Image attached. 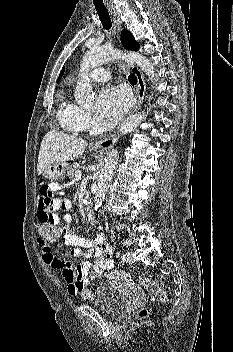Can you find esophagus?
Instances as JSON below:
<instances>
[{
	"label": "esophagus",
	"mask_w": 233,
	"mask_h": 352,
	"mask_svg": "<svg viewBox=\"0 0 233 352\" xmlns=\"http://www.w3.org/2000/svg\"><path fill=\"white\" fill-rule=\"evenodd\" d=\"M109 12L114 22L115 30L119 33L122 29V21L114 9H109ZM129 68L137 77V88H136L137 100L129 113V114H132L140 108L143 102L145 92H146V83L141 70L137 66L131 64L129 65ZM118 137H119V129L114 133H112L111 135H108L104 139L93 142L91 144V147L95 149L107 150L117 141Z\"/></svg>",
	"instance_id": "1"
}]
</instances>
